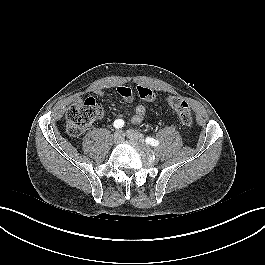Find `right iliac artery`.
<instances>
[{"instance_id": "right-iliac-artery-1", "label": "right iliac artery", "mask_w": 265, "mask_h": 265, "mask_svg": "<svg viewBox=\"0 0 265 265\" xmlns=\"http://www.w3.org/2000/svg\"><path fill=\"white\" fill-rule=\"evenodd\" d=\"M113 126L117 129L122 128L124 126V121L122 119H117L114 121Z\"/></svg>"}]
</instances>
